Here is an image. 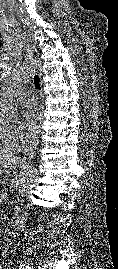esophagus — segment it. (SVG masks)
I'll list each match as a JSON object with an SVG mask.
<instances>
[{"label":"esophagus","instance_id":"1","mask_svg":"<svg viewBox=\"0 0 118 269\" xmlns=\"http://www.w3.org/2000/svg\"><path fill=\"white\" fill-rule=\"evenodd\" d=\"M38 71H41L40 65L37 66ZM35 153L33 151H31L30 153H28L23 159L22 162L27 163L28 161H30L33 157H34Z\"/></svg>","mask_w":118,"mask_h":269}]
</instances>
